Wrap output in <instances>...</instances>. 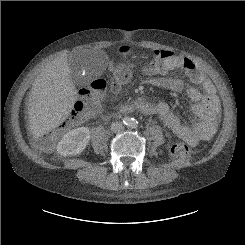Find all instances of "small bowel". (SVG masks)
Here are the masks:
<instances>
[{
	"mask_svg": "<svg viewBox=\"0 0 245 245\" xmlns=\"http://www.w3.org/2000/svg\"><path fill=\"white\" fill-rule=\"evenodd\" d=\"M151 56L156 64L146 69V72L158 75L148 79L149 84L179 92L183 88L182 81L168 76L167 72L180 69L185 71L190 81L198 85L201 91L193 87L188 89L192 106L191 116L187 122L164 101L150 104L144 99H138L135 102V108L143 114L158 116L179 138L191 145L211 139L216 131L219 117V101L213 82L187 57L169 50H153ZM103 97L104 94L101 95V101Z\"/></svg>",
	"mask_w": 245,
	"mask_h": 245,
	"instance_id": "c3829d8e",
	"label": "small bowel"
}]
</instances>
